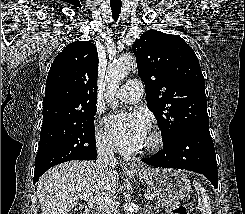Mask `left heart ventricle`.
<instances>
[{"label": "left heart ventricle", "mask_w": 245, "mask_h": 214, "mask_svg": "<svg viewBox=\"0 0 245 214\" xmlns=\"http://www.w3.org/2000/svg\"><path fill=\"white\" fill-rule=\"evenodd\" d=\"M149 142H150V139H149V136H148V138H147V140L145 141V143H144L142 149L145 148V147L149 144Z\"/></svg>", "instance_id": "left-heart-ventricle-1"}]
</instances>
